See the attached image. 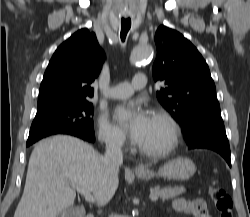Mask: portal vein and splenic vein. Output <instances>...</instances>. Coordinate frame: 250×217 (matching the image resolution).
I'll list each match as a JSON object with an SVG mask.
<instances>
[{
  "label": "portal vein and splenic vein",
  "mask_w": 250,
  "mask_h": 217,
  "mask_svg": "<svg viewBox=\"0 0 250 217\" xmlns=\"http://www.w3.org/2000/svg\"><path fill=\"white\" fill-rule=\"evenodd\" d=\"M75 189L84 196L86 201L91 202V203L95 202L94 196L88 190H86V189H84L82 187H75ZM150 199H151V201L154 202V201H156L158 199V196L151 195Z\"/></svg>",
  "instance_id": "portal-vein-and-splenic-vein-1"
}]
</instances>
